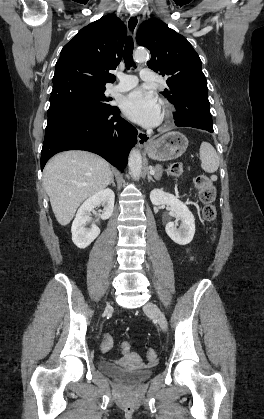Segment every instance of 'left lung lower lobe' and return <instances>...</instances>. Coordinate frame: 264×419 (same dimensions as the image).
<instances>
[{
  "instance_id": "1",
  "label": "left lung lower lobe",
  "mask_w": 264,
  "mask_h": 419,
  "mask_svg": "<svg viewBox=\"0 0 264 419\" xmlns=\"http://www.w3.org/2000/svg\"><path fill=\"white\" fill-rule=\"evenodd\" d=\"M174 115L175 124L179 127H194L213 132L208 96L186 100L184 105L176 109Z\"/></svg>"
}]
</instances>
